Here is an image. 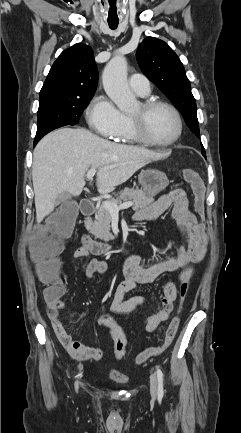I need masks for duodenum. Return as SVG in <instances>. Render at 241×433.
<instances>
[{"mask_svg":"<svg viewBox=\"0 0 241 433\" xmlns=\"http://www.w3.org/2000/svg\"><path fill=\"white\" fill-rule=\"evenodd\" d=\"M80 210L83 215L90 216L95 211V205L92 200L85 198L80 203ZM82 244L85 249L94 255L112 253L118 257H122L128 253V248L124 245L109 246L93 240L88 234L83 235Z\"/></svg>","mask_w":241,"mask_h":433,"instance_id":"obj_1","label":"duodenum"}]
</instances>
